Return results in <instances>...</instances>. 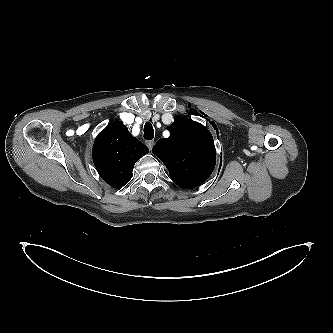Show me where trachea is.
Listing matches in <instances>:
<instances>
[{
    "label": "trachea",
    "mask_w": 333,
    "mask_h": 333,
    "mask_svg": "<svg viewBox=\"0 0 333 333\" xmlns=\"http://www.w3.org/2000/svg\"><path fill=\"white\" fill-rule=\"evenodd\" d=\"M144 138L146 140H152L154 138V129L152 124L149 122L144 125Z\"/></svg>",
    "instance_id": "1"
}]
</instances>
